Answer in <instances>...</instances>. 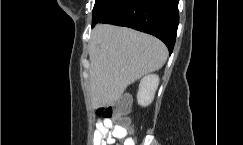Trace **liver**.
<instances>
[{
  "instance_id": "6515ba94",
  "label": "liver",
  "mask_w": 243,
  "mask_h": 145,
  "mask_svg": "<svg viewBox=\"0 0 243 145\" xmlns=\"http://www.w3.org/2000/svg\"><path fill=\"white\" fill-rule=\"evenodd\" d=\"M89 57L91 101L97 109L112 105L128 85L159 70L168 50L151 35L99 24L92 31Z\"/></svg>"
}]
</instances>
